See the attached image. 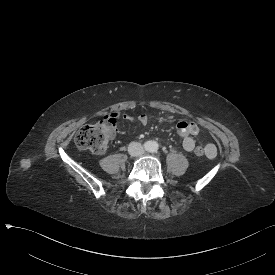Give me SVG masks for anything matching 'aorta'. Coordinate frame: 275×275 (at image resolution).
<instances>
[{"label":"aorta","instance_id":"1","mask_svg":"<svg viewBox=\"0 0 275 275\" xmlns=\"http://www.w3.org/2000/svg\"><path fill=\"white\" fill-rule=\"evenodd\" d=\"M145 149L146 151L148 152H157L158 148H159V145L156 141H147L145 144Z\"/></svg>","mask_w":275,"mask_h":275}]
</instances>
